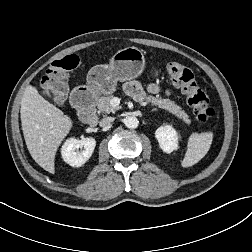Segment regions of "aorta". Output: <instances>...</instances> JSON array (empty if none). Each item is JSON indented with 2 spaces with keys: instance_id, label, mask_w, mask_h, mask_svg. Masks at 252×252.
Instances as JSON below:
<instances>
[{
  "instance_id": "obj_1",
  "label": "aorta",
  "mask_w": 252,
  "mask_h": 252,
  "mask_svg": "<svg viewBox=\"0 0 252 252\" xmlns=\"http://www.w3.org/2000/svg\"><path fill=\"white\" fill-rule=\"evenodd\" d=\"M139 121L136 117L130 116L125 119V126L130 129H135L138 127Z\"/></svg>"
}]
</instances>
